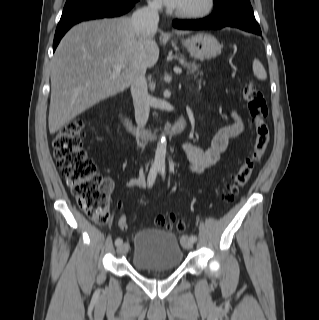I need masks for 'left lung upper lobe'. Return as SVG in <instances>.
I'll use <instances>...</instances> for the list:
<instances>
[{
  "mask_svg": "<svg viewBox=\"0 0 319 320\" xmlns=\"http://www.w3.org/2000/svg\"><path fill=\"white\" fill-rule=\"evenodd\" d=\"M228 1H233V0H214V7H219L220 5H222L223 3H226ZM241 1H248L250 2V0H241Z\"/></svg>",
  "mask_w": 319,
  "mask_h": 320,
  "instance_id": "obj_1",
  "label": "left lung upper lobe"
}]
</instances>
